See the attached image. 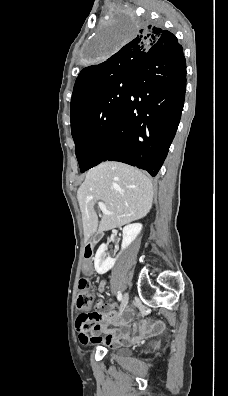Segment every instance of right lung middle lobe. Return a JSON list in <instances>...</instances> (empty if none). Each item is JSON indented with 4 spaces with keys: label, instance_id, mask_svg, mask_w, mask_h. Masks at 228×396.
I'll return each mask as SVG.
<instances>
[{
    "label": "right lung middle lobe",
    "instance_id": "obj_1",
    "mask_svg": "<svg viewBox=\"0 0 228 396\" xmlns=\"http://www.w3.org/2000/svg\"><path fill=\"white\" fill-rule=\"evenodd\" d=\"M145 24V20L134 14H126L117 25L98 36L91 58L106 57ZM131 79L112 82L71 119L75 153L82 173L101 163L106 156L111 130L130 90Z\"/></svg>",
    "mask_w": 228,
    "mask_h": 396
}]
</instances>
